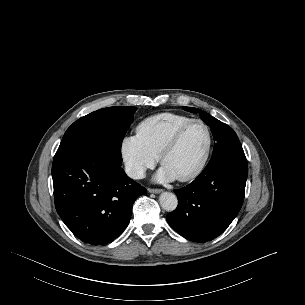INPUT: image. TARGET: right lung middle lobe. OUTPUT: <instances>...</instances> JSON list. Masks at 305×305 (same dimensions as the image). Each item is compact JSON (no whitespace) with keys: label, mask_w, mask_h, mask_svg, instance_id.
I'll use <instances>...</instances> for the list:
<instances>
[{"label":"right lung middle lobe","mask_w":305,"mask_h":305,"mask_svg":"<svg viewBox=\"0 0 305 305\" xmlns=\"http://www.w3.org/2000/svg\"><path fill=\"white\" fill-rule=\"evenodd\" d=\"M136 110L133 106L108 107L81 117L67 129L56 154L100 147L122 161L121 144Z\"/></svg>","instance_id":"1"}]
</instances>
